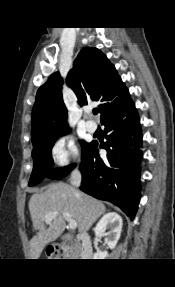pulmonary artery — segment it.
<instances>
[{"mask_svg": "<svg viewBox=\"0 0 175 287\" xmlns=\"http://www.w3.org/2000/svg\"><path fill=\"white\" fill-rule=\"evenodd\" d=\"M88 114L90 115V112H88ZM85 126H86L87 131L91 133H94L97 130V124L92 120H87L85 122Z\"/></svg>", "mask_w": 175, "mask_h": 287, "instance_id": "1", "label": "pulmonary artery"}]
</instances>
